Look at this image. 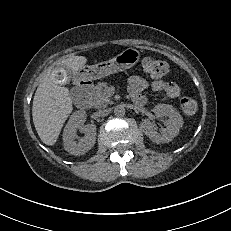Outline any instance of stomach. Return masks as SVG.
Segmentation results:
<instances>
[{"label": "stomach", "mask_w": 231, "mask_h": 231, "mask_svg": "<svg viewBox=\"0 0 231 231\" xmlns=\"http://www.w3.org/2000/svg\"><path fill=\"white\" fill-rule=\"evenodd\" d=\"M141 53L134 48H127L114 58L96 65L82 66L77 75L81 80H96L110 74L125 71L140 60Z\"/></svg>", "instance_id": "1"}]
</instances>
